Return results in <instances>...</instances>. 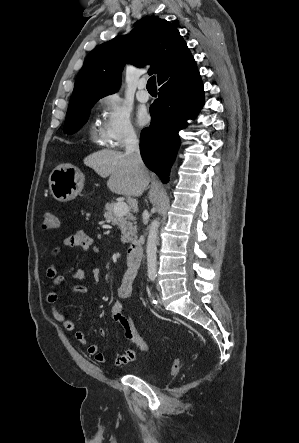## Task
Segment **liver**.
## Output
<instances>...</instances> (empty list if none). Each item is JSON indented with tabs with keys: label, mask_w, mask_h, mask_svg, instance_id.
Listing matches in <instances>:
<instances>
[{
	"label": "liver",
	"mask_w": 299,
	"mask_h": 443,
	"mask_svg": "<svg viewBox=\"0 0 299 443\" xmlns=\"http://www.w3.org/2000/svg\"><path fill=\"white\" fill-rule=\"evenodd\" d=\"M84 164L103 178L109 177L107 187L123 196H141L150 182L145 166L137 168L125 153L102 149L84 158Z\"/></svg>",
	"instance_id": "1"
}]
</instances>
